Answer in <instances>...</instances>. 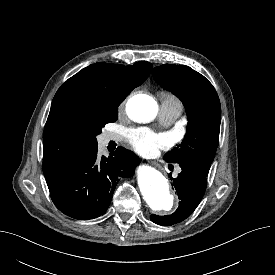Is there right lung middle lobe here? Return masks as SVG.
I'll list each match as a JSON object with an SVG mask.
<instances>
[{
    "label": "right lung middle lobe",
    "mask_w": 275,
    "mask_h": 275,
    "mask_svg": "<svg viewBox=\"0 0 275 275\" xmlns=\"http://www.w3.org/2000/svg\"><path fill=\"white\" fill-rule=\"evenodd\" d=\"M118 118V109L99 112L88 117L72 116L68 120L70 129L80 135L87 148L97 147L96 136L101 133L102 127Z\"/></svg>",
    "instance_id": "right-lung-middle-lobe-1"
}]
</instances>
